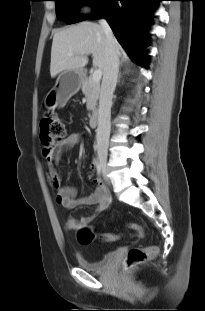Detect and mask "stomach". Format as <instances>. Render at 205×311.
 Segmentation results:
<instances>
[{
    "instance_id": "1",
    "label": "stomach",
    "mask_w": 205,
    "mask_h": 311,
    "mask_svg": "<svg viewBox=\"0 0 205 311\" xmlns=\"http://www.w3.org/2000/svg\"><path fill=\"white\" fill-rule=\"evenodd\" d=\"M83 72L81 70H65L62 71L55 86L49 91L45 98L48 108L62 107L65 103L75 95L82 84Z\"/></svg>"
}]
</instances>
